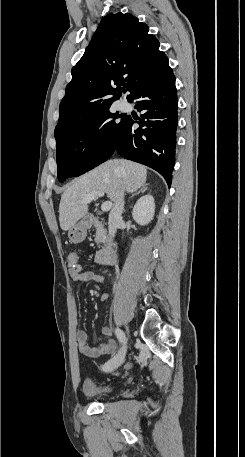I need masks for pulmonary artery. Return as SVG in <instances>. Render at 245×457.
<instances>
[{"mask_svg":"<svg viewBox=\"0 0 245 457\" xmlns=\"http://www.w3.org/2000/svg\"><path fill=\"white\" fill-rule=\"evenodd\" d=\"M118 108L122 112H129L131 110V105L127 101H122L119 103Z\"/></svg>","mask_w":245,"mask_h":457,"instance_id":"e3ab8cb5","label":"pulmonary artery"}]
</instances>
